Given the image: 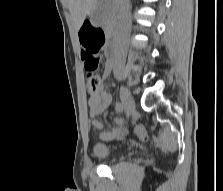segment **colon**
Instances as JSON below:
<instances>
[{"instance_id":"5ec220e1","label":"colon","mask_w":223,"mask_h":191,"mask_svg":"<svg viewBox=\"0 0 223 191\" xmlns=\"http://www.w3.org/2000/svg\"><path fill=\"white\" fill-rule=\"evenodd\" d=\"M104 41L105 36L100 29L84 28L80 31V42L82 44L81 59L86 71L89 73L87 85L90 91H95L100 86V77L96 71L100 65L99 51ZM135 131L140 138L143 140L147 139V135L142 127H136Z\"/></svg>"}]
</instances>
